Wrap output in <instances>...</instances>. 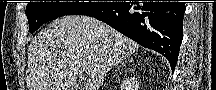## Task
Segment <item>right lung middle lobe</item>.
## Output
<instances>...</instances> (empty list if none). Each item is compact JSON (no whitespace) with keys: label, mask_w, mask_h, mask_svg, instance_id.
I'll return each instance as SVG.
<instances>
[{"label":"right lung middle lobe","mask_w":216,"mask_h":90,"mask_svg":"<svg viewBox=\"0 0 216 90\" xmlns=\"http://www.w3.org/2000/svg\"><path fill=\"white\" fill-rule=\"evenodd\" d=\"M102 4L104 3L29 2L25 11L29 23V31L33 33L46 22L65 15H80L82 12Z\"/></svg>","instance_id":"1"}]
</instances>
